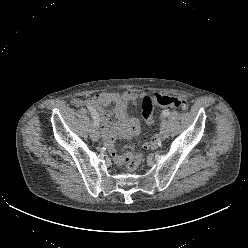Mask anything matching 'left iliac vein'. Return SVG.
<instances>
[{
  "mask_svg": "<svg viewBox=\"0 0 248 248\" xmlns=\"http://www.w3.org/2000/svg\"><path fill=\"white\" fill-rule=\"evenodd\" d=\"M161 133L164 138H167L169 136V130L166 120H163L161 123Z\"/></svg>",
  "mask_w": 248,
  "mask_h": 248,
  "instance_id": "4c4485c4",
  "label": "left iliac vein"
}]
</instances>
